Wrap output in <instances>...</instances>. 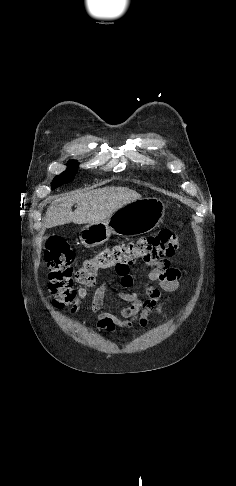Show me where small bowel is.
Masks as SVG:
<instances>
[{"label":"small bowel","instance_id":"small-bowel-1","mask_svg":"<svg viewBox=\"0 0 236 486\" xmlns=\"http://www.w3.org/2000/svg\"><path fill=\"white\" fill-rule=\"evenodd\" d=\"M147 264L151 268L148 279L157 283L158 286L149 285L146 287L147 298L145 300H141L133 288V275L129 266L116 269L123 290L116 291L115 294L126 302L127 306L114 312H102L108 306L106 299L111 289L106 282L98 285L93 295L91 311L98 313L97 324L100 328L113 330L115 327L131 328L136 324L140 327H146L152 313H162L164 301L161 298L160 289L169 292L175 291L179 285L180 273L177 269L172 268L170 262L166 259Z\"/></svg>","mask_w":236,"mask_h":486}]
</instances>
